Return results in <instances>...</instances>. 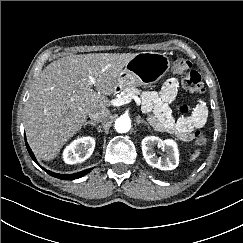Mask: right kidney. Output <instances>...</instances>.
<instances>
[{"label": "right kidney", "instance_id": "1", "mask_svg": "<svg viewBox=\"0 0 243 243\" xmlns=\"http://www.w3.org/2000/svg\"><path fill=\"white\" fill-rule=\"evenodd\" d=\"M94 148V138H78L64 149L63 159L67 164L81 163L92 155Z\"/></svg>", "mask_w": 243, "mask_h": 243}]
</instances>
